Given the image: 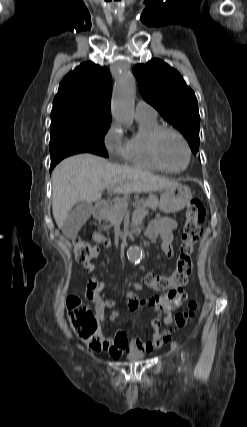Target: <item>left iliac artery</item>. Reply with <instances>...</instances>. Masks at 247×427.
<instances>
[{"mask_svg": "<svg viewBox=\"0 0 247 427\" xmlns=\"http://www.w3.org/2000/svg\"><path fill=\"white\" fill-rule=\"evenodd\" d=\"M185 359H184V357L182 358V361H184Z\"/></svg>", "mask_w": 247, "mask_h": 427, "instance_id": "left-iliac-artery-1", "label": "left iliac artery"}]
</instances>
